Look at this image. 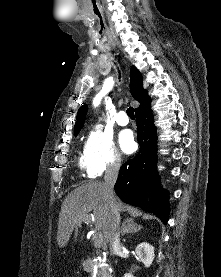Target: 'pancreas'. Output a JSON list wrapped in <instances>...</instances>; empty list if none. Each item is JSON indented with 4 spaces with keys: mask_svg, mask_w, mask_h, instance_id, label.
<instances>
[{
    "mask_svg": "<svg viewBox=\"0 0 221 277\" xmlns=\"http://www.w3.org/2000/svg\"><path fill=\"white\" fill-rule=\"evenodd\" d=\"M90 273H91V276H92L93 273H94L93 268L90 269ZM96 274H97V277H110L108 268L105 267V266H103V267L98 266Z\"/></svg>",
    "mask_w": 221,
    "mask_h": 277,
    "instance_id": "pancreas-1",
    "label": "pancreas"
}]
</instances>
